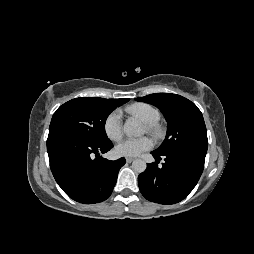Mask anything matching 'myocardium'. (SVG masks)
<instances>
[{"label": "myocardium", "instance_id": "obj_1", "mask_svg": "<svg viewBox=\"0 0 254 254\" xmlns=\"http://www.w3.org/2000/svg\"><path fill=\"white\" fill-rule=\"evenodd\" d=\"M147 132L152 134L154 137L159 138L163 134V128L158 122L145 123Z\"/></svg>", "mask_w": 254, "mask_h": 254}]
</instances>
